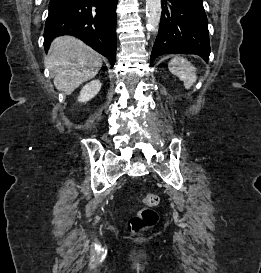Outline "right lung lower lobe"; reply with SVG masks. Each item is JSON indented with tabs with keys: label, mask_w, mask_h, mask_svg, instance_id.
<instances>
[{
	"label": "right lung lower lobe",
	"mask_w": 261,
	"mask_h": 273,
	"mask_svg": "<svg viewBox=\"0 0 261 273\" xmlns=\"http://www.w3.org/2000/svg\"><path fill=\"white\" fill-rule=\"evenodd\" d=\"M118 0H50L44 47L61 35H73L106 56L116 59V7Z\"/></svg>",
	"instance_id": "1"
}]
</instances>
